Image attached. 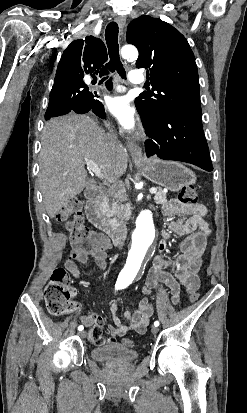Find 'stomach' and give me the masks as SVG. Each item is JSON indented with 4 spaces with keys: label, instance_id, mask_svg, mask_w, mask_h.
Listing matches in <instances>:
<instances>
[{
    "label": "stomach",
    "instance_id": "0dacf381",
    "mask_svg": "<svg viewBox=\"0 0 247 413\" xmlns=\"http://www.w3.org/2000/svg\"><path fill=\"white\" fill-rule=\"evenodd\" d=\"M136 164H141L142 172L146 178L161 184L170 190H181L183 186L195 184L196 174L181 162L175 160H160V158H151L149 162L144 160L143 156L136 158L132 156Z\"/></svg>",
    "mask_w": 247,
    "mask_h": 413
}]
</instances>
